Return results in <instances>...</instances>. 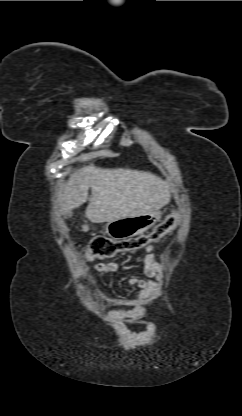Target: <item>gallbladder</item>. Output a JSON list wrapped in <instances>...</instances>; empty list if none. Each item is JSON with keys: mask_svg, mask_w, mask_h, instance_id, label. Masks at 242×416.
I'll list each match as a JSON object with an SVG mask.
<instances>
[{"mask_svg": "<svg viewBox=\"0 0 242 416\" xmlns=\"http://www.w3.org/2000/svg\"><path fill=\"white\" fill-rule=\"evenodd\" d=\"M73 216V213L71 212V211H67V212H65V214H64V217L65 218H71Z\"/></svg>", "mask_w": 242, "mask_h": 416, "instance_id": "1", "label": "gallbladder"}]
</instances>
